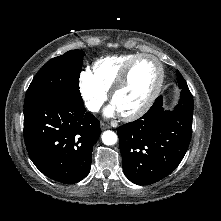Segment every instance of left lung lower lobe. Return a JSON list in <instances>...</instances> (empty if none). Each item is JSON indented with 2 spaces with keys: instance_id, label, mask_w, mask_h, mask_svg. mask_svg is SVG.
<instances>
[{
  "instance_id": "left-lung-lower-lobe-1",
  "label": "left lung lower lobe",
  "mask_w": 221,
  "mask_h": 221,
  "mask_svg": "<svg viewBox=\"0 0 221 221\" xmlns=\"http://www.w3.org/2000/svg\"><path fill=\"white\" fill-rule=\"evenodd\" d=\"M172 110L158 97L149 111L117 129L125 176L149 185L168 176L182 161L192 134L193 98L187 85Z\"/></svg>"
}]
</instances>
